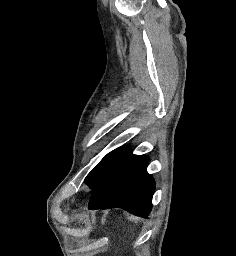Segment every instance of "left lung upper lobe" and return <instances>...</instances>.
Segmentation results:
<instances>
[{
  "label": "left lung upper lobe",
  "instance_id": "1",
  "mask_svg": "<svg viewBox=\"0 0 236 256\" xmlns=\"http://www.w3.org/2000/svg\"><path fill=\"white\" fill-rule=\"evenodd\" d=\"M126 146H121L108 153L87 175L84 182L94 191L111 173Z\"/></svg>",
  "mask_w": 236,
  "mask_h": 256
}]
</instances>
